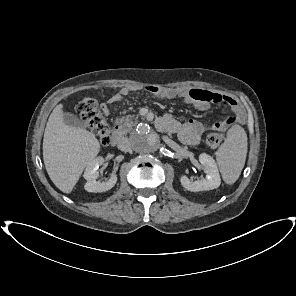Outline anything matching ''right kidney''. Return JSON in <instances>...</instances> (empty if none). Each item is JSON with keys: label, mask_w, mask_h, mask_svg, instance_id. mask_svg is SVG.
<instances>
[{"label": "right kidney", "mask_w": 296, "mask_h": 296, "mask_svg": "<svg viewBox=\"0 0 296 296\" xmlns=\"http://www.w3.org/2000/svg\"><path fill=\"white\" fill-rule=\"evenodd\" d=\"M104 163L103 157H96L93 159L86 167L84 172V179L86 180L85 183V190L88 192H105L113 188L117 182V176L112 175L109 180L106 182H101L98 179L99 172L98 168L100 165Z\"/></svg>", "instance_id": "1"}]
</instances>
